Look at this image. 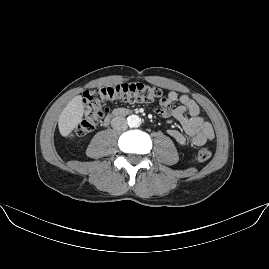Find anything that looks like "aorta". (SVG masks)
I'll return each mask as SVG.
<instances>
[{"instance_id": "obj_1", "label": "aorta", "mask_w": 269, "mask_h": 269, "mask_svg": "<svg viewBox=\"0 0 269 269\" xmlns=\"http://www.w3.org/2000/svg\"><path fill=\"white\" fill-rule=\"evenodd\" d=\"M127 123L130 127L137 128L141 124V119L138 115H131L127 118Z\"/></svg>"}]
</instances>
